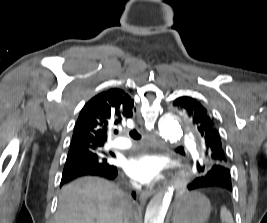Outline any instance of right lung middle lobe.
Segmentation results:
<instances>
[{
  "label": "right lung middle lobe",
  "instance_id": "obj_1",
  "mask_svg": "<svg viewBox=\"0 0 267 223\" xmlns=\"http://www.w3.org/2000/svg\"><path fill=\"white\" fill-rule=\"evenodd\" d=\"M114 154L92 145L70 150L63 173L79 172L86 169H104L113 166L109 158Z\"/></svg>",
  "mask_w": 267,
  "mask_h": 223
}]
</instances>
